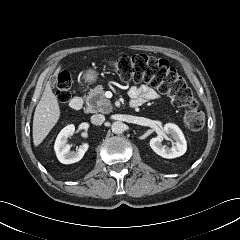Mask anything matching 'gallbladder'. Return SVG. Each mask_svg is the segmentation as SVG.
I'll list each match as a JSON object with an SVG mask.
<instances>
[{"mask_svg":"<svg viewBox=\"0 0 240 240\" xmlns=\"http://www.w3.org/2000/svg\"><path fill=\"white\" fill-rule=\"evenodd\" d=\"M49 82H50L51 87H55L57 79L55 77H52V78H50Z\"/></svg>","mask_w":240,"mask_h":240,"instance_id":"gallbladder-1","label":"gallbladder"}]
</instances>
